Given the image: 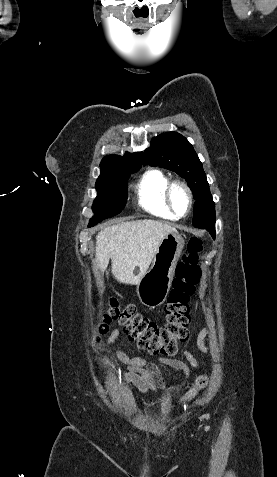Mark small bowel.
<instances>
[{
  "label": "small bowel",
  "instance_id": "c3829d8e",
  "mask_svg": "<svg viewBox=\"0 0 277 477\" xmlns=\"http://www.w3.org/2000/svg\"><path fill=\"white\" fill-rule=\"evenodd\" d=\"M120 331L114 329L106 340L108 345L112 344L119 336ZM210 330L202 329L197 336V348L203 353H209L210 347L206 343ZM118 361L125 366L124 379L133 384L141 393H148L165 387V382L158 367L154 363L148 362L142 357H129L123 351L116 352ZM183 355L187 363L179 359L160 357L159 362L175 370H180L185 377L189 376V367H200L206 362H199L189 351L184 350Z\"/></svg>",
  "mask_w": 277,
  "mask_h": 477
}]
</instances>
